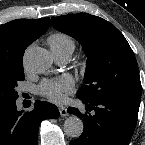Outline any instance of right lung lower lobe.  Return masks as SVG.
<instances>
[{"mask_svg":"<svg viewBox=\"0 0 145 145\" xmlns=\"http://www.w3.org/2000/svg\"><path fill=\"white\" fill-rule=\"evenodd\" d=\"M56 105L37 100L34 110L17 111L16 101L0 102V145H37L39 124L44 119H56Z\"/></svg>","mask_w":145,"mask_h":145,"instance_id":"98d812e1","label":"right lung lower lobe"}]
</instances>
